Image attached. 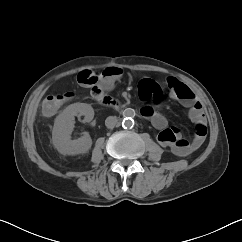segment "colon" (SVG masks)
Instances as JSON below:
<instances>
[{
    "label": "colon",
    "mask_w": 242,
    "mask_h": 242,
    "mask_svg": "<svg viewBox=\"0 0 242 242\" xmlns=\"http://www.w3.org/2000/svg\"><path fill=\"white\" fill-rule=\"evenodd\" d=\"M80 78H81V83L86 85H91L93 87L97 83L99 74L95 72H82L80 75ZM139 91L144 96H152L157 100L160 99L162 96V90L160 86L154 81L148 80V79H144L140 82ZM178 94L179 96H187V92L182 86H178ZM66 100H67V95H64V94L47 96L43 101L42 110L45 114L52 115L56 113L63 106ZM196 130H200L201 134L205 133V130L202 128H196Z\"/></svg>",
    "instance_id": "1"
}]
</instances>
